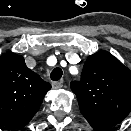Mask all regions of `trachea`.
I'll return each mask as SVG.
<instances>
[{"label": "trachea", "instance_id": "3493384b", "mask_svg": "<svg viewBox=\"0 0 131 131\" xmlns=\"http://www.w3.org/2000/svg\"><path fill=\"white\" fill-rule=\"evenodd\" d=\"M62 70L60 68H55L51 74L50 77L53 81H58L62 77Z\"/></svg>", "mask_w": 131, "mask_h": 131}]
</instances>
